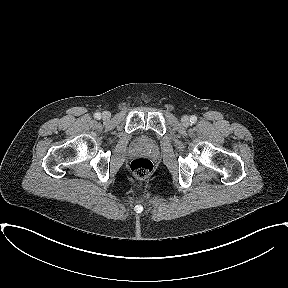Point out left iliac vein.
<instances>
[{
  "label": "left iliac vein",
  "instance_id": "obj_1",
  "mask_svg": "<svg viewBox=\"0 0 288 288\" xmlns=\"http://www.w3.org/2000/svg\"><path fill=\"white\" fill-rule=\"evenodd\" d=\"M181 122L184 126H188L190 124V120L188 116H183Z\"/></svg>",
  "mask_w": 288,
  "mask_h": 288
}]
</instances>
